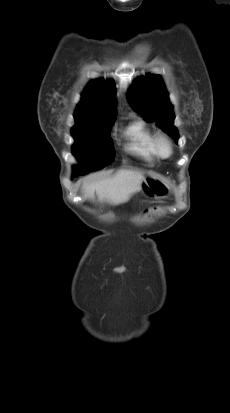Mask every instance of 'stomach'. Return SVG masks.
<instances>
[{
    "label": "stomach",
    "mask_w": 230,
    "mask_h": 413,
    "mask_svg": "<svg viewBox=\"0 0 230 413\" xmlns=\"http://www.w3.org/2000/svg\"><path fill=\"white\" fill-rule=\"evenodd\" d=\"M141 192L150 198L162 199L169 193V188L166 183L154 174H148L144 177L141 184Z\"/></svg>",
    "instance_id": "obj_1"
}]
</instances>
